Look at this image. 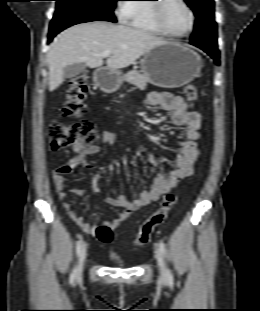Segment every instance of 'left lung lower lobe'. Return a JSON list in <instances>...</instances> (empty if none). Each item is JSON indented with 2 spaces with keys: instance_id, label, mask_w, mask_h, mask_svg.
I'll use <instances>...</instances> for the list:
<instances>
[{
  "instance_id": "0a47b994",
  "label": "left lung lower lobe",
  "mask_w": 260,
  "mask_h": 311,
  "mask_svg": "<svg viewBox=\"0 0 260 311\" xmlns=\"http://www.w3.org/2000/svg\"><path fill=\"white\" fill-rule=\"evenodd\" d=\"M190 44L197 46L201 48L202 50H204L206 53H208V55H210L215 60L217 64H219V50L217 47L208 46V45H204L200 43H192V42H190Z\"/></svg>"
}]
</instances>
